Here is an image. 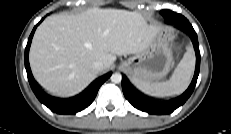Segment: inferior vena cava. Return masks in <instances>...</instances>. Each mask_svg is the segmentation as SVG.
Wrapping results in <instances>:
<instances>
[{"instance_id":"obj_1","label":"inferior vena cava","mask_w":231,"mask_h":134,"mask_svg":"<svg viewBox=\"0 0 231 134\" xmlns=\"http://www.w3.org/2000/svg\"><path fill=\"white\" fill-rule=\"evenodd\" d=\"M104 64L101 61H95L92 65V68L95 72L103 70Z\"/></svg>"}]
</instances>
